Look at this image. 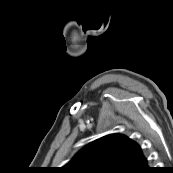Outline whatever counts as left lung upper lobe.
I'll return each mask as SVG.
<instances>
[{
  "mask_svg": "<svg viewBox=\"0 0 173 173\" xmlns=\"http://www.w3.org/2000/svg\"><path fill=\"white\" fill-rule=\"evenodd\" d=\"M147 159L140 146L124 135L95 140L66 164L64 173H141Z\"/></svg>",
  "mask_w": 173,
  "mask_h": 173,
  "instance_id": "1",
  "label": "left lung upper lobe"
}]
</instances>
